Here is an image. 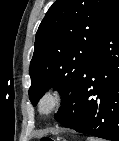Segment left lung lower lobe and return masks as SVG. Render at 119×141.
Here are the masks:
<instances>
[{"mask_svg": "<svg viewBox=\"0 0 119 141\" xmlns=\"http://www.w3.org/2000/svg\"><path fill=\"white\" fill-rule=\"evenodd\" d=\"M55 119L64 127L119 141V13L101 36L78 86Z\"/></svg>", "mask_w": 119, "mask_h": 141, "instance_id": "0a47b994", "label": "left lung lower lobe"}]
</instances>
